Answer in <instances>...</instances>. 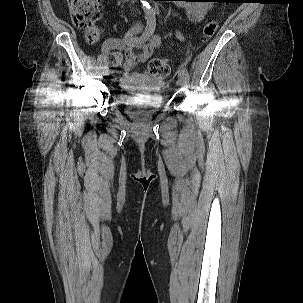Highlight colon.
<instances>
[{
	"mask_svg": "<svg viewBox=\"0 0 303 303\" xmlns=\"http://www.w3.org/2000/svg\"><path fill=\"white\" fill-rule=\"evenodd\" d=\"M69 11L76 27L83 29L89 43H96L100 38L97 21L101 16V0H67ZM217 21H208L203 29L205 38H211L217 30ZM151 75L166 81L171 76L169 61L165 58H153L148 65Z\"/></svg>",
	"mask_w": 303,
	"mask_h": 303,
	"instance_id": "5ec220e1",
	"label": "colon"
}]
</instances>
